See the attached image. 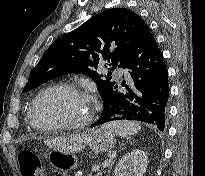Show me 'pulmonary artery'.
<instances>
[{"label":"pulmonary artery","instance_id":"e3ab8cb5","mask_svg":"<svg viewBox=\"0 0 205 176\" xmlns=\"http://www.w3.org/2000/svg\"><path fill=\"white\" fill-rule=\"evenodd\" d=\"M117 76L118 78H122L123 76H128L127 71H123L121 68L117 70Z\"/></svg>","mask_w":205,"mask_h":176}]
</instances>
